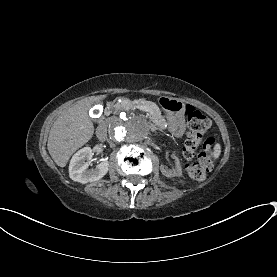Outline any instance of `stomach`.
Segmentation results:
<instances>
[{
	"mask_svg": "<svg viewBox=\"0 0 277 277\" xmlns=\"http://www.w3.org/2000/svg\"><path fill=\"white\" fill-rule=\"evenodd\" d=\"M158 102L166 113L169 126L175 131L182 130L185 124V103L168 96L160 97Z\"/></svg>",
	"mask_w": 277,
	"mask_h": 277,
	"instance_id": "0dacf381",
	"label": "stomach"
}]
</instances>
